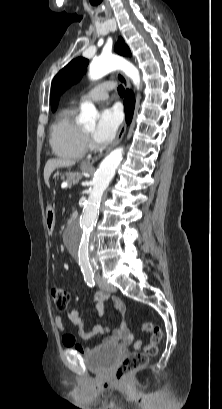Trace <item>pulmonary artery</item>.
I'll use <instances>...</instances> for the list:
<instances>
[{
    "mask_svg": "<svg viewBox=\"0 0 222 409\" xmlns=\"http://www.w3.org/2000/svg\"><path fill=\"white\" fill-rule=\"evenodd\" d=\"M113 89V84L110 82H103L94 88L90 89L86 94L80 98V102L93 101L98 102L108 98L109 91Z\"/></svg>",
    "mask_w": 222,
    "mask_h": 409,
    "instance_id": "e3ab8cb5",
    "label": "pulmonary artery"
}]
</instances>
